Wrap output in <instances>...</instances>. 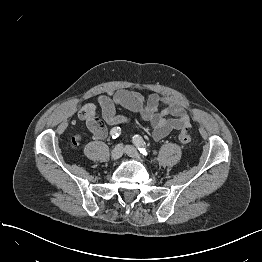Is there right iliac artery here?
Returning <instances> with one entry per match:
<instances>
[{"instance_id": "right-iliac-artery-1", "label": "right iliac artery", "mask_w": 262, "mask_h": 262, "mask_svg": "<svg viewBox=\"0 0 262 262\" xmlns=\"http://www.w3.org/2000/svg\"><path fill=\"white\" fill-rule=\"evenodd\" d=\"M120 131H121L120 127L112 128L111 131H110L112 138L113 139L117 138L120 135Z\"/></svg>"}]
</instances>
